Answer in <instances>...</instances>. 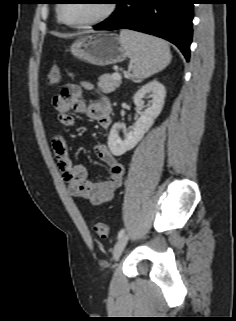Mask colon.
<instances>
[{
	"mask_svg": "<svg viewBox=\"0 0 236 321\" xmlns=\"http://www.w3.org/2000/svg\"><path fill=\"white\" fill-rule=\"evenodd\" d=\"M60 79H61L60 68L57 66H53L47 75L46 84L50 87L55 86L60 82ZM93 230L100 237H106L108 234V227L102 221H96L93 224Z\"/></svg>",
	"mask_w": 236,
	"mask_h": 321,
	"instance_id": "5ec220e1",
	"label": "colon"
}]
</instances>
